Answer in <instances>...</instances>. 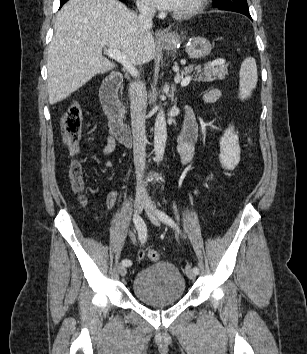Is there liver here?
I'll return each instance as SVG.
<instances>
[{
	"label": "liver",
	"instance_id": "liver-1",
	"mask_svg": "<svg viewBox=\"0 0 307 354\" xmlns=\"http://www.w3.org/2000/svg\"><path fill=\"white\" fill-rule=\"evenodd\" d=\"M121 51L134 65L155 57L150 31L142 32L137 15L118 0H69L58 12L48 48L50 104L60 102L97 74L115 68L102 49Z\"/></svg>",
	"mask_w": 307,
	"mask_h": 354
}]
</instances>
